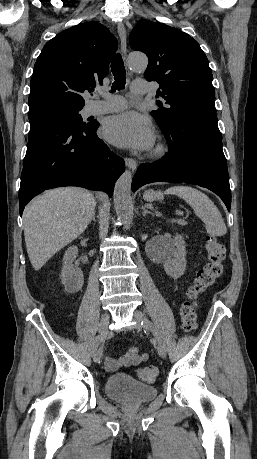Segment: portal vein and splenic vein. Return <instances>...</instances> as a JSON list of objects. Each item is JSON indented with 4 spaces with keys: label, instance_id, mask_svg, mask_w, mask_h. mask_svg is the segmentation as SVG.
<instances>
[{
    "label": "portal vein and splenic vein",
    "instance_id": "18ae733b",
    "mask_svg": "<svg viewBox=\"0 0 257 459\" xmlns=\"http://www.w3.org/2000/svg\"><path fill=\"white\" fill-rule=\"evenodd\" d=\"M177 222H178L179 224H181V225H185V224H186V222H185L184 220H177Z\"/></svg>",
    "mask_w": 257,
    "mask_h": 459
}]
</instances>
